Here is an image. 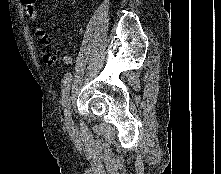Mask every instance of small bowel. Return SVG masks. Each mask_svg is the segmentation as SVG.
<instances>
[{
    "instance_id": "obj_1",
    "label": "small bowel",
    "mask_w": 221,
    "mask_h": 174,
    "mask_svg": "<svg viewBox=\"0 0 221 174\" xmlns=\"http://www.w3.org/2000/svg\"><path fill=\"white\" fill-rule=\"evenodd\" d=\"M22 2H23L24 10H25L27 17L30 20L37 22L38 13L36 9V0H22ZM37 35L41 44L45 48L42 54L43 61L48 65L53 64L56 61L57 56L53 54L50 50L51 37L47 33L44 32V30L42 29L40 25L37 26ZM61 58L64 64L72 63V57L69 54H63Z\"/></svg>"
}]
</instances>
